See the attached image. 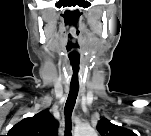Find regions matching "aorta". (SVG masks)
Returning <instances> with one entry per match:
<instances>
[{"instance_id": "obj_1", "label": "aorta", "mask_w": 151, "mask_h": 136, "mask_svg": "<svg viewBox=\"0 0 151 136\" xmlns=\"http://www.w3.org/2000/svg\"><path fill=\"white\" fill-rule=\"evenodd\" d=\"M91 135H93V136H95L96 135V133L95 132H92V133H90Z\"/></svg>"}]
</instances>
